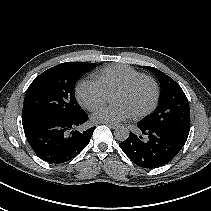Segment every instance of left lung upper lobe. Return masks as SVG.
Returning a JSON list of instances; mask_svg holds the SVG:
<instances>
[{"label": "left lung upper lobe", "instance_id": "obj_1", "mask_svg": "<svg viewBox=\"0 0 211 211\" xmlns=\"http://www.w3.org/2000/svg\"><path fill=\"white\" fill-rule=\"evenodd\" d=\"M142 67L158 78L161 92L157 110L141 123L168 130L187 140L190 131V108L182 88L160 70L150 66Z\"/></svg>", "mask_w": 211, "mask_h": 211}]
</instances>
